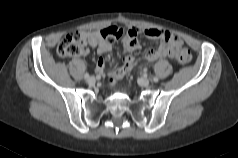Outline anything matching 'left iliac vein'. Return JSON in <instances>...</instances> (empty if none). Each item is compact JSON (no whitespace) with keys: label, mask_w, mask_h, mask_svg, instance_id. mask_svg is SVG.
<instances>
[{"label":"left iliac vein","mask_w":238,"mask_h":158,"mask_svg":"<svg viewBox=\"0 0 238 158\" xmlns=\"http://www.w3.org/2000/svg\"><path fill=\"white\" fill-rule=\"evenodd\" d=\"M139 84H140L141 86H148V85L150 84V80L147 79V78H141V79L139 80Z\"/></svg>","instance_id":"4c4485c4"}]
</instances>
